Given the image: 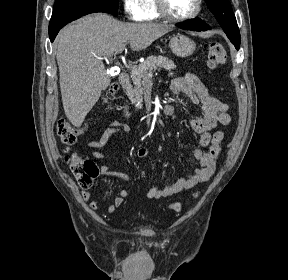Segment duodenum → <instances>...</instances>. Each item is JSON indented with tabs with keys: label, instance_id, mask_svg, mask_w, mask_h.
<instances>
[{
	"label": "duodenum",
	"instance_id": "1",
	"mask_svg": "<svg viewBox=\"0 0 288 280\" xmlns=\"http://www.w3.org/2000/svg\"><path fill=\"white\" fill-rule=\"evenodd\" d=\"M119 81H120V84H121L123 90H126L130 85L129 74L127 72L121 73V75L119 77ZM122 111H123L125 116H128V106H127V103L125 101L123 102V105H122Z\"/></svg>",
	"mask_w": 288,
	"mask_h": 280
}]
</instances>
